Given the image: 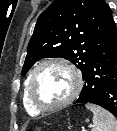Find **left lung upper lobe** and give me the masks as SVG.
I'll return each instance as SVG.
<instances>
[{
    "instance_id": "left-lung-upper-lobe-1",
    "label": "left lung upper lobe",
    "mask_w": 117,
    "mask_h": 131,
    "mask_svg": "<svg viewBox=\"0 0 117 131\" xmlns=\"http://www.w3.org/2000/svg\"><path fill=\"white\" fill-rule=\"evenodd\" d=\"M112 18L104 0H55L37 20L21 74L42 58L61 57L83 76L104 46Z\"/></svg>"
}]
</instances>
